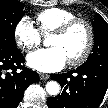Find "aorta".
<instances>
[{
    "mask_svg": "<svg viewBox=\"0 0 108 108\" xmlns=\"http://www.w3.org/2000/svg\"><path fill=\"white\" fill-rule=\"evenodd\" d=\"M46 91L49 95H57L60 92V85L56 81H50L46 84Z\"/></svg>",
    "mask_w": 108,
    "mask_h": 108,
    "instance_id": "762f6f07",
    "label": "aorta"
}]
</instances>
